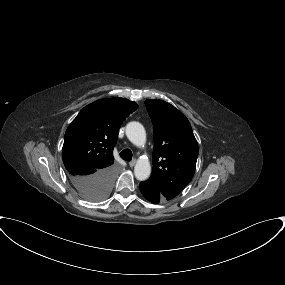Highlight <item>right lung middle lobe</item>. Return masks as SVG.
Returning a JSON list of instances; mask_svg holds the SVG:
<instances>
[{"label":"right lung middle lobe","instance_id":"right-lung-middle-lobe-1","mask_svg":"<svg viewBox=\"0 0 285 285\" xmlns=\"http://www.w3.org/2000/svg\"><path fill=\"white\" fill-rule=\"evenodd\" d=\"M107 195H108V193H99V192H97V193L90 194L89 196L85 197V199H87L89 201H101Z\"/></svg>","mask_w":285,"mask_h":285}]
</instances>
